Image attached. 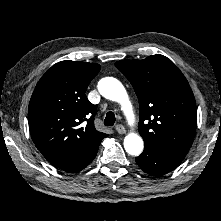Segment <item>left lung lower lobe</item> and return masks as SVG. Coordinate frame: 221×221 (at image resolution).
I'll use <instances>...</instances> for the list:
<instances>
[{
	"mask_svg": "<svg viewBox=\"0 0 221 221\" xmlns=\"http://www.w3.org/2000/svg\"><path fill=\"white\" fill-rule=\"evenodd\" d=\"M185 155L145 143L144 152L136 158L138 166L153 176H162L179 166Z\"/></svg>",
	"mask_w": 221,
	"mask_h": 221,
	"instance_id": "1",
	"label": "left lung lower lobe"
}]
</instances>
